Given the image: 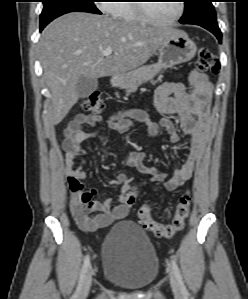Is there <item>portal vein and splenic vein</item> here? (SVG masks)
<instances>
[{"label":"portal vein and splenic vein","mask_w":248,"mask_h":299,"mask_svg":"<svg viewBox=\"0 0 248 299\" xmlns=\"http://www.w3.org/2000/svg\"><path fill=\"white\" fill-rule=\"evenodd\" d=\"M112 53H113V50L110 49V48H107V49H105V50L103 51V55H104V56H109V55H111Z\"/></svg>","instance_id":"portal-vein-and-splenic-vein-1"}]
</instances>
